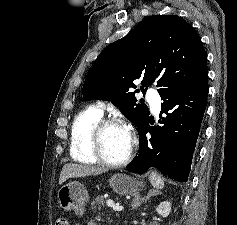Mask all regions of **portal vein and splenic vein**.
I'll return each mask as SVG.
<instances>
[{
	"mask_svg": "<svg viewBox=\"0 0 237 225\" xmlns=\"http://www.w3.org/2000/svg\"><path fill=\"white\" fill-rule=\"evenodd\" d=\"M107 206L112 208L114 211L120 212L124 209L123 206L115 205L113 200H107L106 202Z\"/></svg>",
	"mask_w": 237,
	"mask_h": 225,
	"instance_id": "portal-vein-and-splenic-vein-1",
	"label": "portal vein and splenic vein"
}]
</instances>
